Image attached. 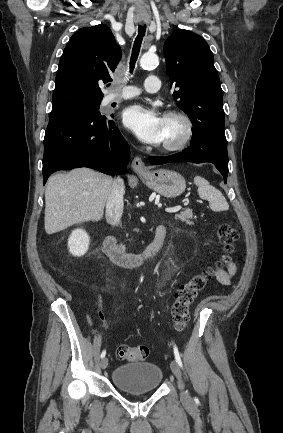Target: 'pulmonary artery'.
<instances>
[{"label": "pulmonary artery", "instance_id": "obj_1", "mask_svg": "<svg viewBox=\"0 0 283 433\" xmlns=\"http://www.w3.org/2000/svg\"><path fill=\"white\" fill-rule=\"evenodd\" d=\"M142 85L145 92H158L159 87L162 85L161 78H158L157 72H148L147 78H143ZM141 91L138 88H129L126 94L111 95L108 97V102L113 103L116 101H122L133 97H138Z\"/></svg>", "mask_w": 283, "mask_h": 433}]
</instances>
